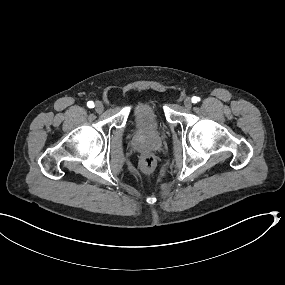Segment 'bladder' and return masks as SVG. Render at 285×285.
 <instances>
[{"instance_id": "31cf9c89", "label": "bladder", "mask_w": 285, "mask_h": 285, "mask_svg": "<svg viewBox=\"0 0 285 285\" xmlns=\"http://www.w3.org/2000/svg\"><path fill=\"white\" fill-rule=\"evenodd\" d=\"M133 130L139 138H152L161 133L158 127L159 116L154 110V103H136L130 107Z\"/></svg>"}]
</instances>
